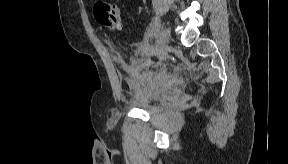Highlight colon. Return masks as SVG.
<instances>
[{"mask_svg": "<svg viewBox=\"0 0 288 164\" xmlns=\"http://www.w3.org/2000/svg\"><path fill=\"white\" fill-rule=\"evenodd\" d=\"M95 15L99 24L113 31L120 30L123 26L120 11L116 5L99 3Z\"/></svg>", "mask_w": 288, "mask_h": 164, "instance_id": "obj_1", "label": "colon"}]
</instances>
